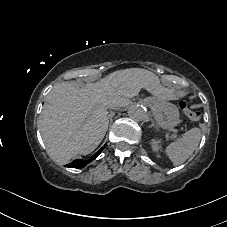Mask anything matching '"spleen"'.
<instances>
[{
    "mask_svg": "<svg viewBox=\"0 0 227 227\" xmlns=\"http://www.w3.org/2000/svg\"><path fill=\"white\" fill-rule=\"evenodd\" d=\"M200 140L201 130L199 128H192L183 135L180 141L169 144L163 150V154L177 167L193 154Z\"/></svg>",
    "mask_w": 227,
    "mask_h": 227,
    "instance_id": "3e777b00",
    "label": "spleen"
}]
</instances>
